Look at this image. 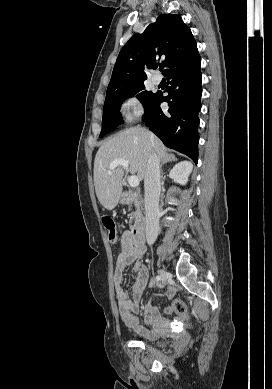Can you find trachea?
<instances>
[{"label":"trachea","instance_id":"3493384b","mask_svg":"<svg viewBox=\"0 0 272 389\" xmlns=\"http://www.w3.org/2000/svg\"><path fill=\"white\" fill-rule=\"evenodd\" d=\"M163 68H164L163 66H159V70H160V71H162V70H163Z\"/></svg>","mask_w":272,"mask_h":389}]
</instances>
